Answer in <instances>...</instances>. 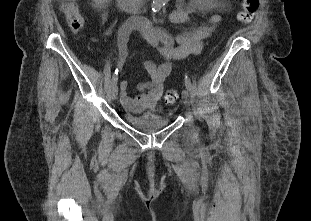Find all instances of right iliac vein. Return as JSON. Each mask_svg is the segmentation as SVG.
<instances>
[{"instance_id": "63e3f726", "label": "right iliac vein", "mask_w": 311, "mask_h": 221, "mask_svg": "<svg viewBox=\"0 0 311 221\" xmlns=\"http://www.w3.org/2000/svg\"><path fill=\"white\" fill-rule=\"evenodd\" d=\"M117 96H118V86L116 84H113L111 88V99L116 100Z\"/></svg>"}]
</instances>
